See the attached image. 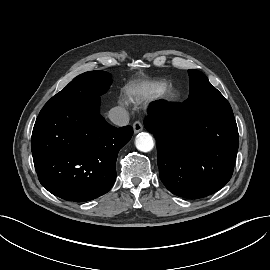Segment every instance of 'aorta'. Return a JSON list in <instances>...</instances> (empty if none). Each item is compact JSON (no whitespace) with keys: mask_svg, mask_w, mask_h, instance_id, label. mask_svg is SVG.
Returning a JSON list of instances; mask_svg holds the SVG:
<instances>
[{"mask_svg":"<svg viewBox=\"0 0 270 270\" xmlns=\"http://www.w3.org/2000/svg\"><path fill=\"white\" fill-rule=\"evenodd\" d=\"M136 148L142 152H149L154 147V141L149 133H139L135 139Z\"/></svg>","mask_w":270,"mask_h":270,"instance_id":"obj_1","label":"aorta"}]
</instances>
